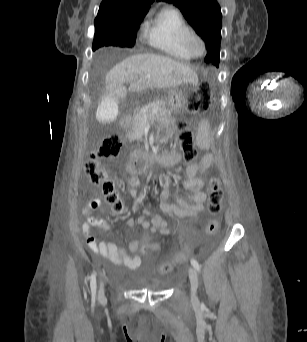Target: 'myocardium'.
Wrapping results in <instances>:
<instances>
[{
	"label": "myocardium",
	"mask_w": 307,
	"mask_h": 342,
	"mask_svg": "<svg viewBox=\"0 0 307 342\" xmlns=\"http://www.w3.org/2000/svg\"><path fill=\"white\" fill-rule=\"evenodd\" d=\"M197 38L202 46L201 52L196 54L191 49V41ZM183 44L186 52L191 56V58L198 59L204 56L207 51V42L203 33L195 27H191V29L185 34L183 39Z\"/></svg>",
	"instance_id": "f54148a6"
}]
</instances>
